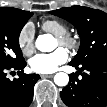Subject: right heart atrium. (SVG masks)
Masks as SVG:
<instances>
[{"mask_svg": "<svg viewBox=\"0 0 107 107\" xmlns=\"http://www.w3.org/2000/svg\"><path fill=\"white\" fill-rule=\"evenodd\" d=\"M34 37H35V30L31 23H27L23 26L21 29L19 35H18V44L25 55H30L35 50V43H34Z\"/></svg>", "mask_w": 107, "mask_h": 107, "instance_id": "right-heart-atrium-1", "label": "right heart atrium"}]
</instances>
